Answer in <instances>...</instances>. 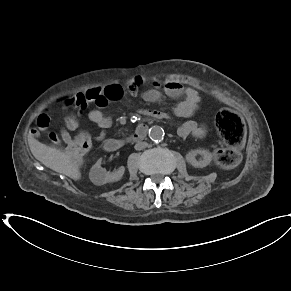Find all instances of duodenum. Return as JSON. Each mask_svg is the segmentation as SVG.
Here are the masks:
<instances>
[{
	"instance_id": "duodenum-1",
	"label": "duodenum",
	"mask_w": 291,
	"mask_h": 291,
	"mask_svg": "<svg viewBox=\"0 0 291 291\" xmlns=\"http://www.w3.org/2000/svg\"><path fill=\"white\" fill-rule=\"evenodd\" d=\"M147 132L146 124H140L137 129L127 138L125 139H115L110 138L107 139L104 144L103 148L107 152H114L121 149L124 145L138 142L139 140L143 139Z\"/></svg>"
}]
</instances>
